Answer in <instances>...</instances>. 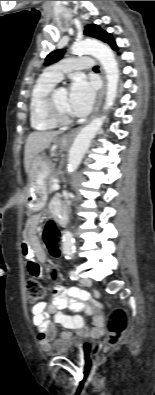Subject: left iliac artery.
<instances>
[{"label": "left iliac artery", "mask_w": 155, "mask_h": 395, "mask_svg": "<svg viewBox=\"0 0 155 395\" xmlns=\"http://www.w3.org/2000/svg\"><path fill=\"white\" fill-rule=\"evenodd\" d=\"M69 274L72 280H77L79 278L78 271L76 270H71Z\"/></svg>", "instance_id": "44dca946"}]
</instances>
